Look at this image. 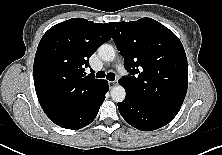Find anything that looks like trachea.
I'll return each instance as SVG.
<instances>
[{
  "instance_id": "1",
  "label": "trachea",
  "mask_w": 222,
  "mask_h": 155,
  "mask_svg": "<svg viewBox=\"0 0 222 155\" xmlns=\"http://www.w3.org/2000/svg\"><path fill=\"white\" fill-rule=\"evenodd\" d=\"M105 76H106V79L110 81H113L115 79V75L113 73H108L107 75L105 74L104 71H98L96 73L97 78H105Z\"/></svg>"
}]
</instances>
